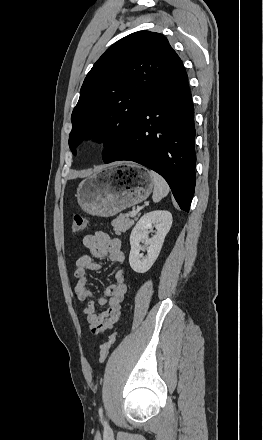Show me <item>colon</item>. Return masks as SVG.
<instances>
[{"instance_id": "5ec220e1", "label": "colon", "mask_w": 263, "mask_h": 440, "mask_svg": "<svg viewBox=\"0 0 263 440\" xmlns=\"http://www.w3.org/2000/svg\"><path fill=\"white\" fill-rule=\"evenodd\" d=\"M88 225V220L79 214L74 215L71 223V231L76 234L83 231ZM115 341V334L110 335L102 344L100 350V362L104 361L109 354V351Z\"/></svg>"}]
</instances>
